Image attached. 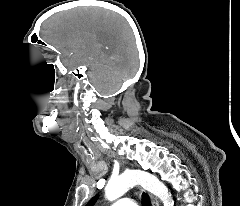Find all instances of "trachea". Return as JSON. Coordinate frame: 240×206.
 I'll return each mask as SVG.
<instances>
[{"mask_svg":"<svg viewBox=\"0 0 240 206\" xmlns=\"http://www.w3.org/2000/svg\"><path fill=\"white\" fill-rule=\"evenodd\" d=\"M142 202L145 206H151L150 199L145 193L142 195Z\"/></svg>","mask_w":240,"mask_h":206,"instance_id":"3493384b","label":"trachea"}]
</instances>
